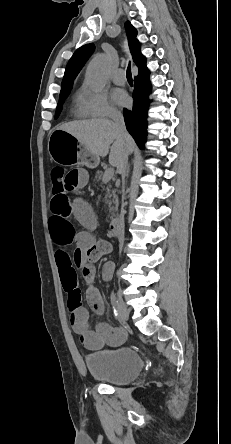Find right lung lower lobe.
I'll return each instance as SVG.
<instances>
[{"mask_svg":"<svg viewBox=\"0 0 231 444\" xmlns=\"http://www.w3.org/2000/svg\"><path fill=\"white\" fill-rule=\"evenodd\" d=\"M150 72L145 69L138 73L134 84V104L132 110H124V120L127 130L135 139L137 145L143 148L147 135V110L151 92V84L149 81Z\"/></svg>","mask_w":231,"mask_h":444,"instance_id":"right-lung-lower-lobe-1","label":"right lung lower lobe"}]
</instances>
